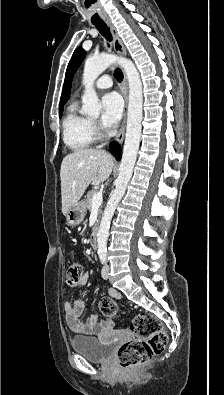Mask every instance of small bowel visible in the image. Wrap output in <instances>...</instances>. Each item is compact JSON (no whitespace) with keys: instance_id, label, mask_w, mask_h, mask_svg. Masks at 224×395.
I'll list each match as a JSON object with an SVG mask.
<instances>
[{"instance_id":"c3829d8e","label":"small bowel","mask_w":224,"mask_h":395,"mask_svg":"<svg viewBox=\"0 0 224 395\" xmlns=\"http://www.w3.org/2000/svg\"><path fill=\"white\" fill-rule=\"evenodd\" d=\"M88 280V274L84 273L77 283L79 286H84ZM109 293L115 298L121 297L113 289H109ZM64 316L69 330L78 335H99L113 328V321L111 319L101 320L99 315L87 316L85 314V302L83 299L66 302L64 304Z\"/></svg>"}]
</instances>
